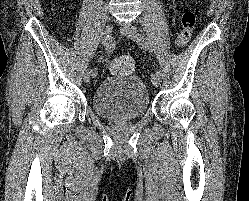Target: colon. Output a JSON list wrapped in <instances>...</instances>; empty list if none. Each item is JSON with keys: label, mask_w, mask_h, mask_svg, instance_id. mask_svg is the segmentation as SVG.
I'll return each instance as SVG.
<instances>
[{"label": "colon", "mask_w": 249, "mask_h": 201, "mask_svg": "<svg viewBox=\"0 0 249 201\" xmlns=\"http://www.w3.org/2000/svg\"><path fill=\"white\" fill-rule=\"evenodd\" d=\"M196 25V13L190 4H187L181 15V30L176 38L175 45L184 48L192 37ZM135 69L134 60L129 56H119L109 63V70L117 75H130Z\"/></svg>", "instance_id": "obj_1"}]
</instances>
